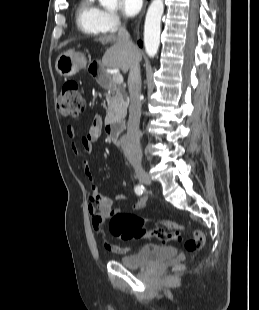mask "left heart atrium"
<instances>
[{
  "label": "left heart atrium",
  "mask_w": 259,
  "mask_h": 310,
  "mask_svg": "<svg viewBox=\"0 0 259 310\" xmlns=\"http://www.w3.org/2000/svg\"><path fill=\"white\" fill-rule=\"evenodd\" d=\"M143 6V0H121V9L125 16L133 17L137 15Z\"/></svg>",
  "instance_id": "1"
}]
</instances>
